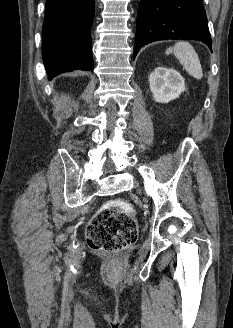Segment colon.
I'll return each mask as SVG.
<instances>
[{"label":"colon","mask_w":233,"mask_h":328,"mask_svg":"<svg viewBox=\"0 0 233 328\" xmlns=\"http://www.w3.org/2000/svg\"><path fill=\"white\" fill-rule=\"evenodd\" d=\"M133 207L126 201L106 203L91 219L86 237L89 246L108 253H118L137 238Z\"/></svg>","instance_id":"colon-1"}]
</instances>
